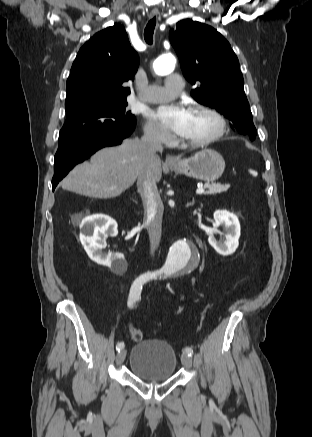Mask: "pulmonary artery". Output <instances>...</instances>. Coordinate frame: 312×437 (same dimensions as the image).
I'll use <instances>...</instances> for the list:
<instances>
[{"mask_svg":"<svg viewBox=\"0 0 312 437\" xmlns=\"http://www.w3.org/2000/svg\"><path fill=\"white\" fill-rule=\"evenodd\" d=\"M183 78L172 74L165 79L163 86L153 85L138 93V98L145 102L157 103L172 99L183 89Z\"/></svg>","mask_w":312,"mask_h":437,"instance_id":"e3ab8cb5","label":"pulmonary artery"}]
</instances>
